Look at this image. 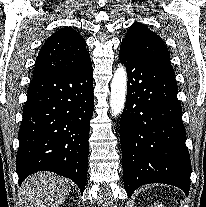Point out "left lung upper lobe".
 <instances>
[{
    "label": "left lung upper lobe",
    "instance_id": "obj_1",
    "mask_svg": "<svg viewBox=\"0 0 206 207\" xmlns=\"http://www.w3.org/2000/svg\"><path fill=\"white\" fill-rule=\"evenodd\" d=\"M120 49L152 63L170 67V54L162 39L141 23L130 26Z\"/></svg>",
    "mask_w": 206,
    "mask_h": 207
}]
</instances>
